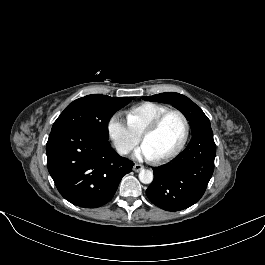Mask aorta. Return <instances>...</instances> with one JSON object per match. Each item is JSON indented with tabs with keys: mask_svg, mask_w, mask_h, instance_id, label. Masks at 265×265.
Wrapping results in <instances>:
<instances>
[{
	"mask_svg": "<svg viewBox=\"0 0 265 265\" xmlns=\"http://www.w3.org/2000/svg\"><path fill=\"white\" fill-rule=\"evenodd\" d=\"M139 180L143 184H150L153 181V172L150 170H141L139 173Z\"/></svg>",
	"mask_w": 265,
	"mask_h": 265,
	"instance_id": "obj_1",
	"label": "aorta"
}]
</instances>
